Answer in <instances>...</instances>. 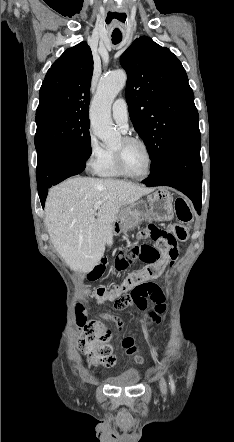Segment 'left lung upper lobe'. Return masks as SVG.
Segmentation results:
<instances>
[{"mask_svg": "<svg viewBox=\"0 0 234 442\" xmlns=\"http://www.w3.org/2000/svg\"><path fill=\"white\" fill-rule=\"evenodd\" d=\"M127 72L130 119L158 171L180 139L199 130V116L187 74L168 49L143 36L121 55Z\"/></svg>", "mask_w": 234, "mask_h": 442, "instance_id": "1", "label": "left lung upper lobe"}]
</instances>
